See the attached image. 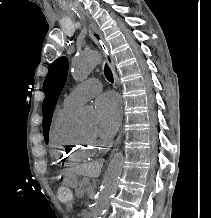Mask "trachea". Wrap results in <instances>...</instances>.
Wrapping results in <instances>:
<instances>
[{
  "label": "trachea",
  "instance_id": "trachea-1",
  "mask_svg": "<svg viewBox=\"0 0 211 218\" xmlns=\"http://www.w3.org/2000/svg\"><path fill=\"white\" fill-rule=\"evenodd\" d=\"M104 75L109 82L113 83V73L107 64H105L104 67Z\"/></svg>",
  "mask_w": 211,
  "mask_h": 218
}]
</instances>
